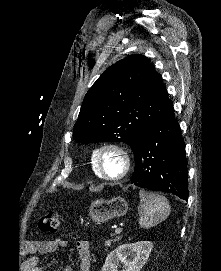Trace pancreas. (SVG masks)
I'll list each match as a JSON object with an SVG mask.
<instances>
[{
  "instance_id": "pancreas-1",
  "label": "pancreas",
  "mask_w": 221,
  "mask_h": 271,
  "mask_svg": "<svg viewBox=\"0 0 221 271\" xmlns=\"http://www.w3.org/2000/svg\"><path fill=\"white\" fill-rule=\"evenodd\" d=\"M116 243H117L116 239H105L102 245L103 247H113L114 244Z\"/></svg>"
}]
</instances>
